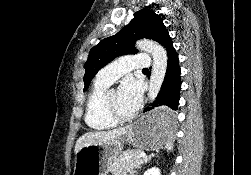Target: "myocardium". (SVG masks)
<instances>
[{"label":"myocardium","instance_id":"1","mask_svg":"<svg viewBox=\"0 0 251 175\" xmlns=\"http://www.w3.org/2000/svg\"><path fill=\"white\" fill-rule=\"evenodd\" d=\"M113 89H107L105 94H104V97H103V108L106 112V114L108 116H110L111 118L115 119V120H125V119H128L129 116L128 115H124V114H119V113H116L112 110L111 106H110V103H109V94L110 92L112 91Z\"/></svg>","mask_w":251,"mask_h":175}]
</instances>
